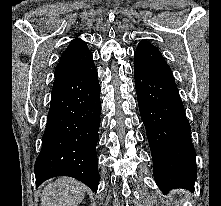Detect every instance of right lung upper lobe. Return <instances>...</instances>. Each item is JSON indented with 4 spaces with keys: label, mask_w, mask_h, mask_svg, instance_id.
Wrapping results in <instances>:
<instances>
[{
    "label": "right lung upper lobe",
    "mask_w": 221,
    "mask_h": 206,
    "mask_svg": "<svg viewBox=\"0 0 221 206\" xmlns=\"http://www.w3.org/2000/svg\"><path fill=\"white\" fill-rule=\"evenodd\" d=\"M92 62L93 56L87 44L79 38L74 39L62 53L60 61L55 68L54 83L77 73Z\"/></svg>",
    "instance_id": "cb5924a9"
}]
</instances>
